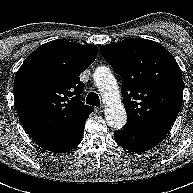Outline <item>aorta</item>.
<instances>
[{"instance_id":"762f6f07","label":"aorta","mask_w":193,"mask_h":193,"mask_svg":"<svg viewBox=\"0 0 193 193\" xmlns=\"http://www.w3.org/2000/svg\"><path fill=\"white\" fill-rule=\"evenodd\" d=\"M94 80L105 102V118L113 129H121L127 121V114L120 100L117 82L108 67H97Z\"/></svg>"}]
</instances>
